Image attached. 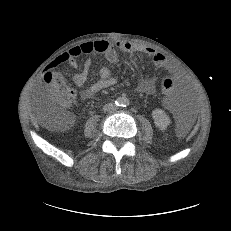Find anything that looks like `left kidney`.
Wrapping results in <instances>:
<instances>
[{
    "label": "left kidney",
    "instance_id": "left-kidney-1",
    "mask_svg": "<svg viewBox=\"0 0 231 231\" xmlns=\"http://www.w3.org/2000/svg\"><path fill=\"white\" fill-rule=\"evenodd\" d=\"M152 117L155 125L161 130H165L171 122L169 116L162 109H154L152 111Z\"/></svg>",
    "mask_w": 231,
    "mask_h": 231
}]
</instances>
